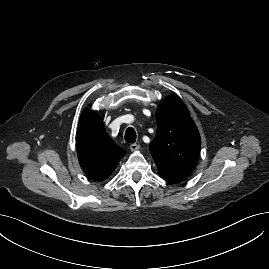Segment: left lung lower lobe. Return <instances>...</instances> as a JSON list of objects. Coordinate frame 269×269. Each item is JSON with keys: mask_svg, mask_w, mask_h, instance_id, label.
Wrapping results in <instances>:
<instances>
[{"mask_svg": "<svg viewBox=\"0 0 269 269\" xmlns=\"http://www.w3.org/2000/svg\"><path fill=\"white\" fill-rule=\"evenodd\" d=\"M159 176L163 178L164 180L171 183H178L187 178V176H171V175H163V174H159Z\"/></svg>", "mask_w": 269, "mask_h": 269, "instance_id": "obj_1", "label": "left lung lower lobe"}]
</instances>
